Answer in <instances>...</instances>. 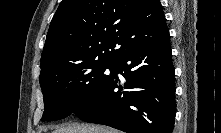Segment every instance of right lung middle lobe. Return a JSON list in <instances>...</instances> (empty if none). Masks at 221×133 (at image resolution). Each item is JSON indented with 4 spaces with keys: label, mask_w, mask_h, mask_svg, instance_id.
I'll list each match as a JSON object with an SVG mask.
<instances>
[{
    "label": "right lung middle lobe",
    "mask_w": 221,
    "mask_h": 133,
    "mask_svg": "<svg viewBox=\"0 0 221 133\" xmlns=\"http://www.w3.org/2000/svg\"><path fill=\"white\" fill-rule=\"evenodd\" d=\"M113 62L61 64L40 75L44 95L42 121H53L75 114L105 84Z\"/></svg>",
    "instance_id": "obj_1"
}]
</instances>
